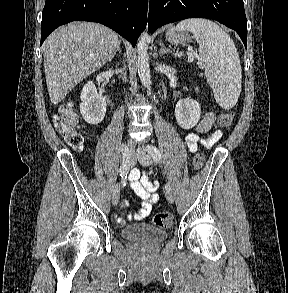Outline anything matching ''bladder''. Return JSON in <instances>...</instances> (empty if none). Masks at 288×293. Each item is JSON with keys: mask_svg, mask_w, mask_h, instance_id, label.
<instances>
[{"mask_svg": "<svg viewBox=\"0 0 288 293\" xmlns=\"http://www.w3.org/2000/svg\"><path fill=\"white\" fill-rule=\"evenodd\" d=\"M121 236L126 240L161 242L168 237V232L149 224H132L121 230Z\"/></svg>", "mask_w": 288, "mask_h": 293, "instance_id": "obj_1", "label": "bladder"}]
</instances>
